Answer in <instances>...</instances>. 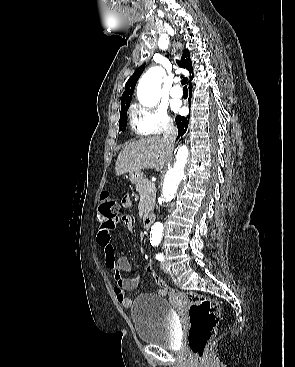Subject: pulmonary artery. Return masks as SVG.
<instances>
[{
	"mask_svg": "<svg viewBox=\"0 0 295 367\" xmlns=\"http://www.w3.org/2000/svg\"><path fill=\"white\" fill-rule=\"evenodd\" d=\"M170 94L173 98H181L182 95H183V91L182 89L180 88V86L176 85L174 86L171 91H170Z\"/></svg>",
	"mask_w": 295,
	"mask_h": 367,
	"instance_id": "e3ab8cb5",
	"label": "pulmonary artery"
}]
</instances>
